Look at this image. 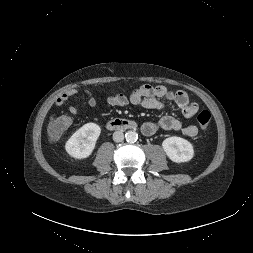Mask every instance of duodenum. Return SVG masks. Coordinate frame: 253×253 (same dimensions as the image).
Here are the masks:
<instances>
[{
    "mask_svg": "<svg viewBox=\"0 0 253 253\" xmlns=\"http://www.w3.org/2000/svg\"><path fill=\"white\" fill-rule=\"evenodd\" d=\"M106 126L109 130H134L137 128V123L129 119L116 118L109 120Z\"/></svg>",
    "mask_w": 253,
    "mask_h": 253,
    "instance_id": "obj_1",
    "label": "duodenum"
}]
</instances>
